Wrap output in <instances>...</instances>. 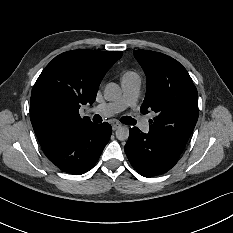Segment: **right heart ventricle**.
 I'll list each match as a JSON object with an SVG mask.
<instances>
[{
  "mask_svg": "<svg viewBox=\"0 0 233 233\" xmlns=\"http://www.w3.org/2000/svg\"><path fill=\"white\" fill-rule=\"evenodd\" d=\"M140 80V77L137 72L133 70H127L122 74V81H134Z\"/></svg>",
  "mask_w": 233,
  "mask_h": 233,
  "instance_id": "e07e8e85",
  "label": "right heart ventricle"
}]
</instances>
